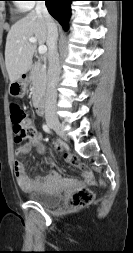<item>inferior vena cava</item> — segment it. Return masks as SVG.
Returning <instances> with one entry per match:
<instances>
[{
    "mask_svg": "<svg viewBox=\"0 0 133 253\" xmlns=\"http://www.w3.org/2000/svg\"><path fill=\"white\" fill-rule=\"evenodd\" d=\"M35 12L41 14L47 25V45L48 51V82L45 99V117L46 119H57L56 100H57V84L60 76V62L57 52L58 30L52 17L50 16L45 1H37Z\"/></svg>",
    "mask_w": 133,
    "mask_h": 253,
    "instance_id": "602c4592",
    "label": "inferior vena cava"
}]
</instances>
